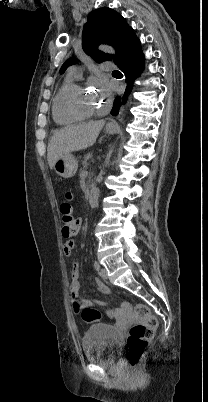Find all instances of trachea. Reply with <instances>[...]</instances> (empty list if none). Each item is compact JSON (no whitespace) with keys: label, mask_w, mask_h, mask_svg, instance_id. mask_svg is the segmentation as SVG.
Masks as SVG:
<instances>
[{"label":"trachea","mask_w":208,"mask_h":402,"mask_svg":"<svg viewBox=\"0 0 208 402\" xmlns=\"http://www.w3.org/2000/svg\"><path fill=\"white\" fill-rule=\"evenodd\" d=\"M114 72H118V70H114Z\"/></svg>","instance_id":"1"}]
</instances>
